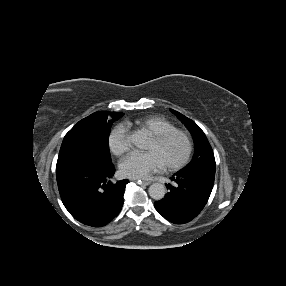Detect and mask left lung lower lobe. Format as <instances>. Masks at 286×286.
<instances>
[{
	"mask_svg": "<svg viewBox=\"0 0 286 286\" xmlns=\"http://www.w3.org/2000/svg\"><path fill=\"white\" fill-rule=\"evenodd\" d=\"M214 169L178 171L168 185L170 192L154 203L156 210L168 221L184 224L194 219L204 208L211 194Z\"/></svg>",
	"mask_w": 286,
	"mask_h": 286,
	"instance_id": "obj_1",
	"label": "left lung lower lobe"
}]
</instances>
